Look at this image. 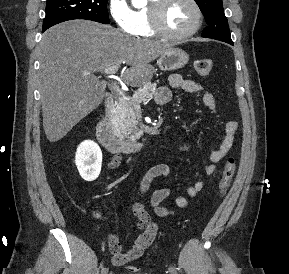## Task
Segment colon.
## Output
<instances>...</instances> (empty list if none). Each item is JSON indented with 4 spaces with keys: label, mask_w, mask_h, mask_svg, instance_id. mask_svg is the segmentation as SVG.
I'll return each mask as SVG.
<instances>
[{
    "label": "colon",
    "mask_w": 289,
    "mask_h": 274,
    "mask_svg": "<svg viewBox=\"0 0 289 274\" xmlns=\"http://www.w3.org/2000/svg\"><path fill=\"white\" fill-rule=\"evenodd\" d=\"M213 68V62L209 58H201L197 59L194 62V69L196 73L202 77H207L210 75ZM236 171L235 159L233 157H229L224 165L221 178L218 184V193L219 195H223L226 193L228 188L230 187L232 180L234 178ZM127 270L131 272H137L139 268L134 265L127 266Z\"/></svg>",
    "instance_id": "obj_1"
}]
</instances>
